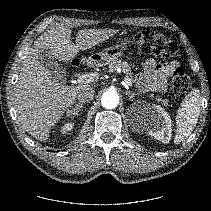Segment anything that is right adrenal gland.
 Segmentation results:
<instances>
[{
  "label": "right adrenal gland",
  "instance_id": "1",
  "mask_svg": "<svg viewBox=\"0 0 211 211\" xmlns=\"http://www.w3.org/2000/svg\"><path fill=\"white\" fill-rule=\"evenodd\" d=\"M82 108H83V103H78L75 105L74 108L66 112V116L73 118L74 116L78 115V113L81 111Z\"/></svg>",
  "mask_w": 211,
  "mask_h": 211
}]
</instances>
